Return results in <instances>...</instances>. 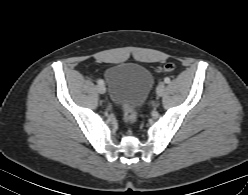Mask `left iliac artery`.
<instances>
[{"label": "left iliac artery", "instance_id": "obj_1", "mask_svg": "<svg viewBox=\"0 0 248 195\" xmlns=\"http://www.w3.org/2000/svg\"><path fill=\"white\" fill-rule=\"evenodd\" d=\"M164 82L167 83V84L170 83V78L166 77V78L164 79Z\"/></svg>", "mask_w": 248, "mask_h": 195}]
</instances>
